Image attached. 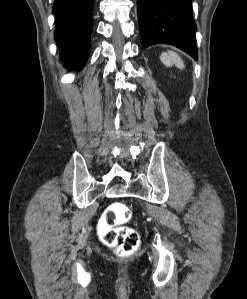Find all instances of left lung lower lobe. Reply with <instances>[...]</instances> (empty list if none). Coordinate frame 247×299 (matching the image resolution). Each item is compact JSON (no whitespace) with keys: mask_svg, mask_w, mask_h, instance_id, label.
Instances as JSON below:
<instances>
[{"mask_svg":"<svg viewBox=\"0 0 247 299\" xmlns=\"http://www.w3.org/2000/svg\"><path fill=\"white\" fill-rule=\"evenodd\" d=\"M137 10L143 49L169 44L197 60L191 0H137Z\"/></svg>","mask_w":247,"mask_h":299,"instance_id":"0a47b994","label":"left lung lower lobe"}]
</instances>
